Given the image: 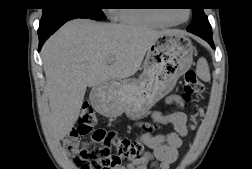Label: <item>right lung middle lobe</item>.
<instances>
[{
  "mask_svg": "<svg viewBox=\"0 0 252 169\" xmlns=\"http://www.w3.org/2000/svg\"><path fill=\"white\" fill-rule=\"evenodd\" d=\"M103 0H44L40 26L66 18L104 20Z\"/></svg>",
  "mask_w": 252,
  "mask_h": 169,
  "instance_id": "right-lung-middle-lobe-1",
  "label": "right lung middle lobe"
}]
</instances>
